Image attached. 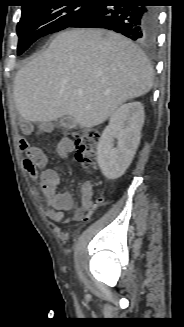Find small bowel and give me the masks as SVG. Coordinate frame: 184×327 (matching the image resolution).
<instances>
[{"mask_svg": "<svg viewBox=\"0 0 184 327\" xmlns=\"http://www.w3.org/2000/svg\"><path fill=\"white\" fill-rule=\"evenodd\" d=\"M21 129L25 133L29 132L31 125L22 124ZM50 130V123H42L37 129V134L40 137H44ZM73 147V142L68 138H64L57 145V152L62 158H67ZM25 153L26 158L23 160V168L32 179L39 180L41 192L46 199L48 217L56 222L67 221L65 219V212L71 211L74 207L72 195L68 192H57V186L60 181L59 174L55 170L46 167L47 158L40 148L29 147L27 144ZM38 169H42L41 174H38ZM102 203L103 198L101 197L93 201L90 196L83 195L81 200L82 208L88 214Z\"/></svg>", "mask_w": 184, "mask_h": 327, "instance_id": "small-bowel-1", "label": "small bowel"}]
</instances>
